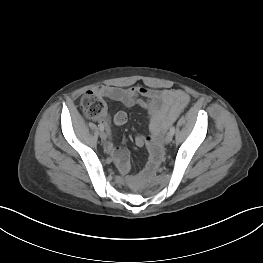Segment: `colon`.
Returning a JSON list of instances; mask_svg holds the SVG:
<instances>
[{"mask_svg":"<svg viewBox=\"0 0 263 263\" xmlns=\"http://www.w3.org/2000/svg\"><path fill=\"white\" fill-rule=\"evenodd\" d=\"M80 105L85 115L91 119L101 118L104 115L105 103L102 97L93 91H88L82 96Z\"/></svg>","mask_w":263,"mask_h":263,"instance_id":"obj_1","label":"colon"}]
</instances>
